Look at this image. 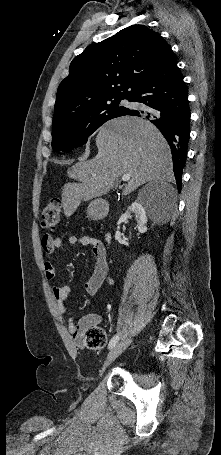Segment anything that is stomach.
Returning a JSON list of instances; mask_svg holds the SVG:
<instances>
[{
	"label": "stomach",
	"mask_w": 221,
	"mask_h": 455,
	"mask_svg": "<svg viewBox=\"0 0 221 455\" xmlns=\"http://www.w3.org/2000/svg\"><path fill=\"white\" fill-rule=\"evenodd\" d=\"M97 209H98V208H97V201L92 202V203L89 205L88 210H87L88 216L94 217V216L97 214V212H98Z\"/></svg>",
	"instance_id": "obj_1"
}]
</instances>
